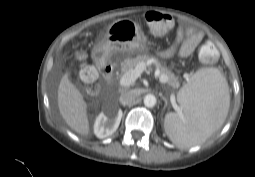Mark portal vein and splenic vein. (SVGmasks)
Wrapping results in <instances>:
<instances>
[{
  "instance_id": "18ae733b",
  "label": "portal vein and splenic vein",
  "mask_w": 255,
  "mask_h": 177,
  "mask_svg": "<svg viewBox=\"0 0 255 177\" xmlns=\"http://www.w3.org/2000/svg\"><path fill=\"white\" fill-rule=\"evenodd\" d=\"M146 69V66L143 62H140L139 64H137V66L132 69L131 71L125 73L121 79H120V85L121 86H130L132 85L136 79L138 77L141 76V74L143 73V71ZM160 81L165 82L166 78L165 77H161ZM173 107L176 111H180L179 107L177 106L176 103L173 104Z\"/></svg>"
}]
</instances>
